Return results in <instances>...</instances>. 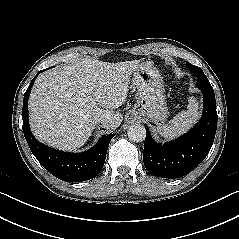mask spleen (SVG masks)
<instances>
[{"label": "spleen", "instance_id": "spleen-1", "mask_svg": "<svg viewBox=\"0 0 239 239\" xmlns=\"http://www.w3.org/2000/svg\"><path fill=\"white\" fill-rule=\"evenodd\" d=\"M198 102L195 98L191 97L187 106V110L179 112L172 120L167 124H160L157 127L158 133L168 140H173L188 130L199 119Z\"/></svg>", "mask_w": 239, "mask_h": 239}]
</instances>
